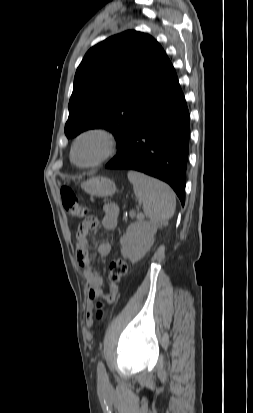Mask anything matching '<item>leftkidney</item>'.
Wrapping results in <instances>:
<instances>
[{"label": "left kidney", "mask_w": 253, "mask_h": 413, "mask_svg": "<svg viewBox=\"0 0 253 413\" xmlns=\"http://www.w3.org/2000/svg\"><path fill=\"white\" fill-rule=\"evenodd\" d=\"M157 227L150 222L138 220L130 224L121 237V254L132 263L141 260L154 243Z\"/></svg>", "instance_id": "1"}]
</instances>
